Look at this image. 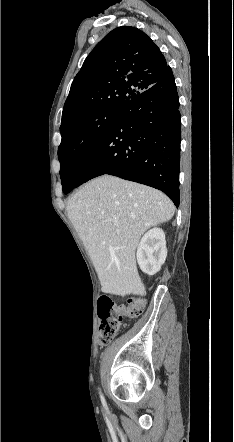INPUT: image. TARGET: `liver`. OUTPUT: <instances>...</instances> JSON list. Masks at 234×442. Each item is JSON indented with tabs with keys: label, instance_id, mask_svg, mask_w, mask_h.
<instances>
[{
	"label": "liver",
	"instance_id": "liver-1",
	"mask_svg": "<svg viewBox=\"0 0 234 442\" xmlns=\"http://www.w3.org/2000/svg\"><path fill=\"white\" fill-rule=\"evenodd\" d=\"M66 210L90 254L102 291L122 297L145 295L135 250L148 228L171 220L175 212L171 200L151 187L104 175L76 192Z\"/></svg>",
	"mask_w": 234,
	"mask_h": 442
}]
</instances>
